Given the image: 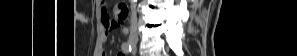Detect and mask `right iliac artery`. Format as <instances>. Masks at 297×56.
Segmentation results:
<instances>
[{
    "mask_svg": "<svg viewBox=\"0 0 297 56\" xmlns=\"http://www.w3.org/2000/svg\"><path fill=\"white\" fill-rule=\"evenodd\" d=\"M122 50L125 52V53H129L131 52L132 50V47L131 45L128 43V42H124L121 46Z\"/></svg>",
    "mask_w": 297,
    "mask_h": 56,
    "instance_id": "right-iliac-artery-1",
    "label": "right iliac artery"
}]
</instances>
